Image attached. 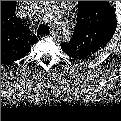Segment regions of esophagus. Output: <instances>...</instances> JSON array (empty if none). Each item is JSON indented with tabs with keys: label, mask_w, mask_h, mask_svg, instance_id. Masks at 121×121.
I'll list each match as a JSON object with an SVG mask.
<instances>
[{
	"label": "esophagus",
	"mask_w": 121,
	"mask_h": 121,
	"mask_svg": "<svg viewBox=\"0 0 121 121\" xmlns=\"http://www.w3.org/2000/svg\"><path fill=\"white\" fill-rule=\"evenodd\" d=\"M50 36L55 37V32L51 31Z\"/></svg>",
	"instance_id": "esophagus-1"
}]
</instances>
